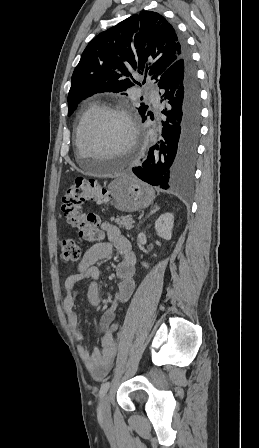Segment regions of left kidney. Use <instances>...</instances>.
I'll list each match as a JSON object with an SVG mask.
<instances>
[{
  "mask_svg": "<svg viewBox=\"0 0 259 448\" xmlns=\"http://www.w3.org/2000/svg\"><path fill=\"white\" fill-rule=\"evenodd\" d=\"M173 224V214H162V216L155 222V230L158 236L164 238V240H171ZM142 266H144V268H149L148 264H145V262H143Z\"/></svg>",
  "mask_w": 259,
  "mask_h": 448,
  "instance_id": "left-kidney-1",
  "label": "left kidney"
}]
</instances>
